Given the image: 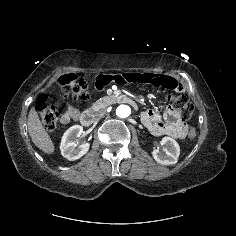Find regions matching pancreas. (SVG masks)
I'll use <instances>...</instances> for the list:
<instances>
[{"label":"pancreas","instance_id":"cf45deb5","mask_svg":"<svg viewBox=\"0 0 236 236\" xmlns=\"http://www.w3.org/2000/svg\"><path fill=\"white\" fill-rule=\"evenodd\" d=\"M111 99L112 98L109 96L100 98L99 100H97L96 102L92 104L91 109L93 111H98L100 109H103L111 103Z\"/></svg>","mask_w":236,"mask_h":236}]
</instances>
